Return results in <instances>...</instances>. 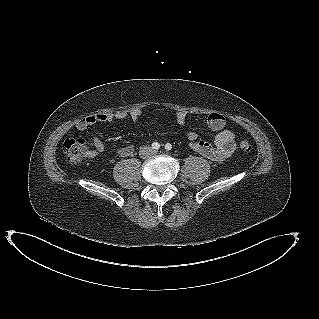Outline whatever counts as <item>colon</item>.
Returning <instances> with one entry per match:
<instances>
[{
    "label": "colon",
    "instance_id": "5ec220e1",
    "mask_svg": "<svg viewBox=\"0 0 319 319\" xmlns=\"http://www.w3.org/2000/svg\"><path fill=\"white\" fill-rule=\"evenodd\" d=\"M238 144L244 151L251 150V143L247 139H240ZM63 152L67 160L72 164H79L90 156L88 142L83 138L66 139L63 143Z\"/></svg>",
    "mask_w": 319,
    "mask_h": 319
}]
</instances>
